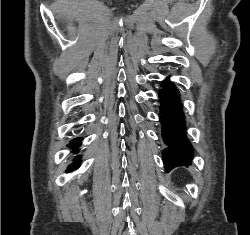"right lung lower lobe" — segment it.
Here are the masks:
<instances>
[{"instance_id": "98d812e1", "label": "right lung lower lobe", "mask_w": 250, "mask_h": 235, "mask_svg": "<svg viewBox=\"0 0 250 235\" xmlns=\"http://www.w3.org/2000/svg\"><path fill=\"white\" fill-rule=\"evenodd\" d=\"M81 138H75L71 141L70 144H68V147L72 148L73 149V152L76 150V148L81 144ZM80 165V162H79V157H76L74 159V163L72 165L69 166V168L67 169V172H70V171H73L75 170L76 168H78Z\"/></svg>"}]
</instances>
